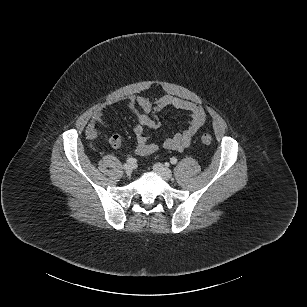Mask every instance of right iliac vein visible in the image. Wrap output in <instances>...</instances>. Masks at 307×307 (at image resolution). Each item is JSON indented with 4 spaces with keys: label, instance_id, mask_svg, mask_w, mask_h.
I'll list each match as a JSON object with an SVG mask.
<instances>
[{
    "label": "right iliac vein",
    "instance_id": "right-iliac-vein-1",
    "mask_svg": "<svg viewBox=\"0 0 307 307\" xmlns=\"http://www.w3.org/2000/svg\"><path fill=\"white\" fill-rule=\"evenodd\" d=\"M123 169L127 174H131L133 172V166L129 163L124 164Z\"/></svg>",
    "mask_w": 307,
    "mask_h": 307
}]
</instances>
